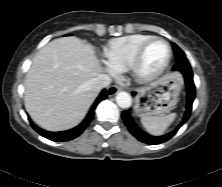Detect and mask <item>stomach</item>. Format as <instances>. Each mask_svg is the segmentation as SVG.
Segmentation results:
<instances>
[{"instance_id": "0dacf381", "label": "stomach", "mask_w": 222, "mask_h": 187, "mask_svg": "<svg viewBox=\"0 0 222 187\" xmlns=\"http://www.w3.org/2000/svg\"><path fill=\"white\" fill-rule=\"evenodd\" d=\"M182 89V79L169 74L151 85L142 88L135 99L134 112L137 116L164 115L175 106Z\"/></svg>"}]
</instances>
